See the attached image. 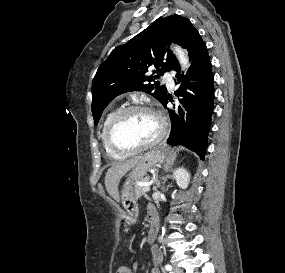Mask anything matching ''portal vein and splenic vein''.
Listing matches in <instances>:
<instances>
[{
	"label": "portal vein and splenic vein",
	"instance_id": "1",
	"mask_svg": "<svg viewBox=\"0 0 285 273\" xmlns=\"http://www.w3.org/2000/svg\"><path fill=\"white\" fill-rule=\"evenodd\" d=\"M143 191L149 192L150 191V186L149 185H145L144 188H143Z\"/></svg>",
	"mask_w": 285,
	"mask_h": 273
}]
</instances>
